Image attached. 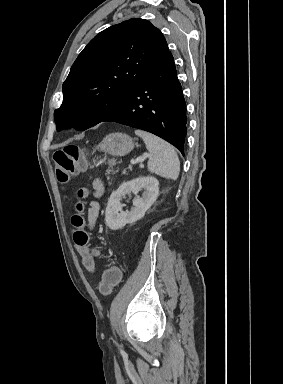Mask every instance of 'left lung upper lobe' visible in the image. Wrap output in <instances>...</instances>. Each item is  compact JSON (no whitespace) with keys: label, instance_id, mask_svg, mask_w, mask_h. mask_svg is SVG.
<instances>
[{"label":"left lung upper lobe","instance_id":"5c2ea615","mask_svg":"<svg viewBox=\"0 0 283 384\" xmlns=\"http://www.w3.org/2000/svg\"><path fill=\"white\" fill-rule=\"evenodd\" d=\"M167 51L161 31L145 19L132 18L100 32L63 83V103L54 112L57 130L84 131L104 120Z\"/></svg>","mask_w":283,"mask_h":384}]
</instances>
